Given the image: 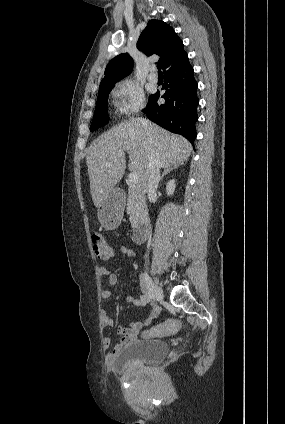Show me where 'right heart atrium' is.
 <instances>
[{
  "mask_svg": "<svg viewBox=\"0 0 285 424\" xmlns=\"http://www.w3.org/2000/svg\"><path fill=\"white\" fill-rule=\"evenodd\" d=\"M113 95L115 109L123 117L137 113L145 105L143 89L131 78H124L117 82Z\"/></svg>",
  "mask_w": 285,
  "mask_h": 424,
  "instance_id": "1",
  "label": "right heart atrium"
}]
</instances>
